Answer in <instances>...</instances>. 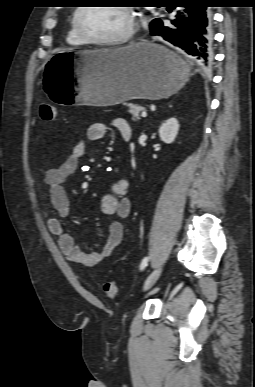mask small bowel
I'll return each mask as SVG.
<instances>
[{"instance_id": "1", "label": "small bowel", "mask_w": 255, "mask_h": 387, "mask_svg": "<svg viewBox=\"0 0 255 387\" xmlns=\"http://www.w3.org/2000/svg\"><path fill=\"white\" fill-rule=\"evenodd\" d=\"M110 127L115 128L122 138L124 134L131 136V128L127 121L123 118H115L110 124L104 122L92 123L87 130V140L96 141L104 138ZM87 140H79L59 166L46 170L43 175V182L48 188L51 205L59 216V218L52 217L48 219L47 227L49 232L58 237V246L70 262L84 267H94L109 258L121 243L124 234V226L121 220L130 215L132 205L127 197L130 182L125 178H121L112 185L110 191L101 200L102 212L109 216H115L117 220L110 224L107 240L99 251L80 249L75 244L73 236L65 230L61 219H67L70 216V200L64 184L69 176L77 170L80 161L84 158Z\"/></svg>"}]
</instances>
